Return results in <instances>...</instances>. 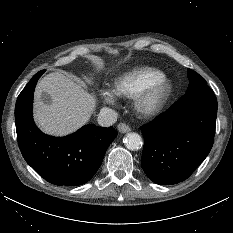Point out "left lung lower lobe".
<instances>
[{
    "mask_svg": "<svg viewBox=\"0 0 233 233\" xmlns=\"http://www.w3.org/2000/svg\"><path fill=\"white\" fill-rule=\"evenodd\" d=\"M217 99L211 89L183 95L165 113L142 126L141 165L150 180L172 185L187 179L209 154Z\"/></svg>",
    "mask_w": 233,
    "mask_h": 233,
    "instance_id": "1",
    "label": "left lung lower lobe"
}]
</instances>
